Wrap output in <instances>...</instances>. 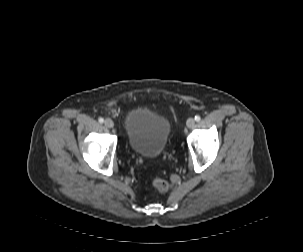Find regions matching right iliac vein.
<instances>
[{
    "instance_id": "obj_1",
    "label": "right iliac vein",
    "mask_w": 303,
    "mask_h": 252,
    "mask_svg": "<svg viewBox=\"0 0 303 252\" xmlns=\"http://www.w3.org/2000/svg\"><path fill=\"white\" fill-rule=\"evenodd\" d=\"M104 125L107 127V128H113L114 127V122L111 120V119H106L104 121Z\"/></svg>"
}]
</instances>
